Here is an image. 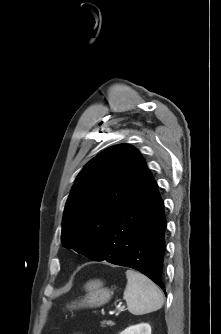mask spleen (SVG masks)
<instances>
[{
  "mask_svg": "<svg viewBox=\"0 0 221 334\" xmlns=\"http://www.w3.org/2000/svg\"><path fill=\"white\" fill-rule=\"evenodd\" d=\"M124 299L130 313L143 315L160 309L164 304L162 291L145 275L128 269Z\"/></svg>",
  "mask_w": 221,
  "mask_h": 334,
  "instance_id": "obj_1",
  "label": "spleen"
}]
</instances>
